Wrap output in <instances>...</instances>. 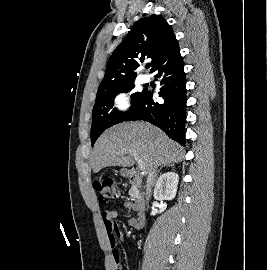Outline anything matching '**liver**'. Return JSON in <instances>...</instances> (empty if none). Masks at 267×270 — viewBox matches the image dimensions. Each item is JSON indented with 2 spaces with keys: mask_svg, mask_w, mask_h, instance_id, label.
<instances>
[{
  "mask_svg": "<svg viewBox=\"0 0 267 270\" xmlns=\"http://www.w3.org/2000/svg\"><path fill=\"white\" fill-rule=\"evenodd\" d=\"M135 156L149 172L154 166L178 163L183 148L159 128L145 122H124L105 131L97 140L92 156L94 173L108 166L131 167Z\"/></svg>",
  "mask_w": 267,
  "mask_h": 270,
  "instance_id": "obj_1",
  "label": "liver"
}]
</instances>
